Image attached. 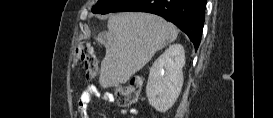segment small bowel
I'll return each mask as SVG.
<instances>
[{"label":"small bowel","mask_w":273,"mask_h":118,"mask_svg":"<svg viewBox=\"0 0 273 118\" xmlns=\"http://www.w3.org/2000/svg\"><path fill=\"white\" fill-rule=\"evenodd\" d=\"M100 93L98 92V90L96 89L95 86L93 85H88L83 93L81 94L78 103H77V109L78 112L81 116V118H89V113H88V105L90 103V101L96 97L99 96ZM102 98L106 101V102H112L113 101V96L110 93H104L102 95ZM120 114L121 115H135L137 114V109H121L120 110Z\"/></svg>","instance_id":"small-bowel-1"}]
</instances>
